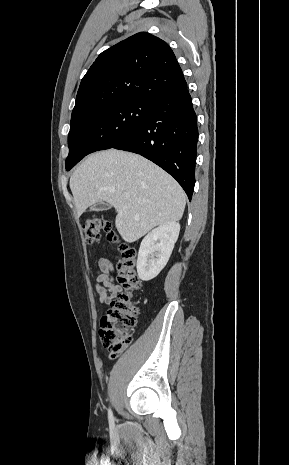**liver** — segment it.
Segmentation results:
<instances>
[{
	"instance_id": "1",
	"label": "liver",
	"mask_w": 289,
	"mask_h": 465,
	"mask_svg": "<svg viewBox=\"0 0 289 465\" xmlns=\"http://www.w3.org/2000/svg\"><path fill=\"white\" fill-rule=\"evenodd\" d=\"M70 189L78 217L97 202L114 206L116 229L128 243L180 220L186 204L183 189L169 174L140 155L116 149L88 156L73 172Z\"/></svg>"
}]
</instances>
